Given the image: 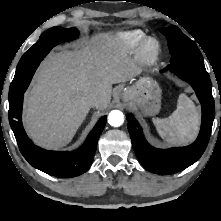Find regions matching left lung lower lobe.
Masks as SVG:
<instances>
[{
  "label": "left lung lower lobe",
  "mask_w": 221,
  "mask_h": 221,
  "mask_svg": "<svg viewBox=\"0 0 221 221\" xmlns=\"http://www.w3.org/2000/svg\"><path fill=\"white\" fill-rule=\"evenodd\" d=\"M166 70L191 84L202 105V124L199 136L193 144L187 147L156 149L149 145L138 122L128 114L127 126L133 149L142 165L156 174H173L195 163L207 147L215 116L212 84L206 69L171 63L163 71Z\"/></svg>",
  "instance_id": "0a47b994"
}]
</instances>
